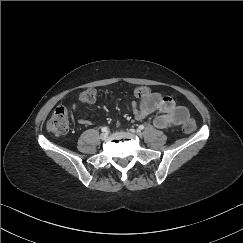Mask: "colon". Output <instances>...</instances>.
<instances>
[{"label":"colon","mask_w":243,"mask_h":243,"mask_svg":"<svg viewBox=\"0 0 243 243\" xmlns=\"http://www.w3.org/2000/svg\"><path fill=\"white\" fill-rule=\"evenodd\" d=\"M135 93L138 97H141L145 93V88L139 87L135 90ZM80 100L86 104L93 103L95 100L94 89L88 88L82 91L80 94ZM46 127L48 131L57 136L65 135L68 132L69 128L68 112L66 108L62 106L55 108L52 115L47 121ZM195 127V121L189 119L184 123L183 131L186 133H191L192 131H194Z\"/></svg>","instance_id":"colon-1"}]
</instances>
